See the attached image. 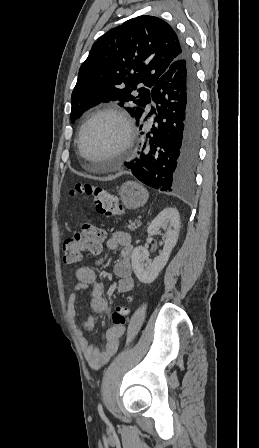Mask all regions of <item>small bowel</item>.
<instances>
[{"label":"small bowel","instance_id":"small-bowel-1","mask_svg":"<svg viewBox=\"0 0 259 448\" xmlns=\"http://www.w3.org/2000/svg\"><path fill=\"white\" fill-rule=\"evenodd\" d=\"M107 250L120 248V259L113 267V274L117 277L115 289L118 293H128L133 289L134 281L132 278V254L133 246L131 236L124 231L114 232L105 242ZM102 247L99 246L96 253L101 254ZM103 257L97 260V264L102 263ZM77 283L73 287L67 301V316L79 337V343L84 357L89 366L93 369H99L105 365L111 357L117 352L119 340L125 331V327H109L105 333V345L103 349L90 345L83 332L76 328V299L78 294L84 293L90 287V308L95 313H104L108 310V302L103 295V286L100 282L95 269L91 266H81L76 270ZM95 321L92 316H88L83 321V327L86 330L94 328Z\"/></svg>","mask_w":259,"mask_h":448}]
</instances>
